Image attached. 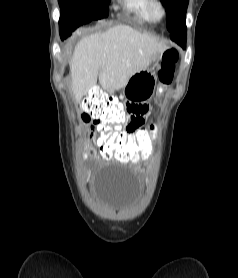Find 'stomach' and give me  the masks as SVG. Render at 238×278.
<instances>
[{
    "instance_id": "1",
    "label": "stomach",
    "mask_w": 238,
    "mask_h": 278,
    "mask_svg": "<svg viewBox=\"0 0 238 278\" xmlns=\"http://www.w3.org/2000/svg\"><path fill=\"white\" fill-rule=\"evenodd\" d=\"M162 54H156L153 61L161 59ZM156 87L155 73L146 68L133 74L123 90V96L129 101H148L154 94Z\"/></svg>"
}]
</instances>
